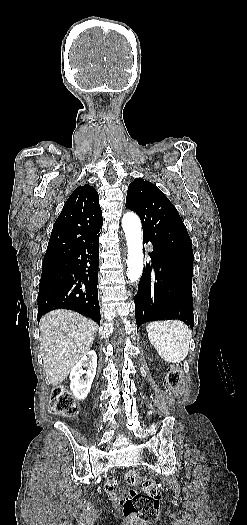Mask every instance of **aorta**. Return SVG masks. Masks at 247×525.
<instances>
[{"label":"aorta","instance_id":"762f6f07","mask_svg":"<svg viewBox=\"0 0 247 525\" xmlns=\"http://www.w3.org/2000/svg\"><path fill=\"white\" fill-rule=\"evenodd\" d=\"M122 224L128 247L127 276L134 283L141 277L144 266L142 226L139 217L132 212L124 214Z\"/></svg>","mask_w":247,"mask_h":525}]
</instances>
